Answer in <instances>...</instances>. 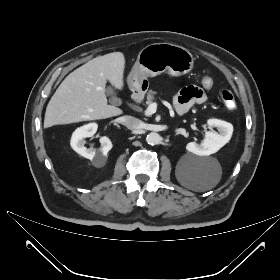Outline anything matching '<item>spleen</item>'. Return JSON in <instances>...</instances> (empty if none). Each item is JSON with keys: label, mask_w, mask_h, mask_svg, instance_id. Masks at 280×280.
Segmentation results:
<instances>
[{"label": "spleen", "mask_w": 280, "mask_h": 280, "mask_svg": "<svg viewBox=\"0 0 280 280\" xmlns=\"http://www.w3.org/2000/svg\"><path fill=\"white\" fill-rule=\"evenodd\" d=\"M217 183H218V180L213 183L205 185L204 190H209V189L213 188Z\"/></svg>", "instance_id": "spleen-1"}]
</instances>
